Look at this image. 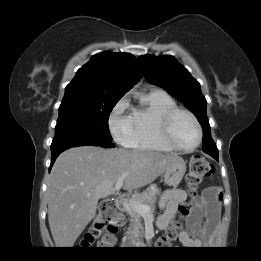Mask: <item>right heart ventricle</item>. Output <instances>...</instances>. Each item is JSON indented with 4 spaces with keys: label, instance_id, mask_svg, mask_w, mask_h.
Wrapping results in <instances>:
<instances>
[{
    "label": "right heart ventricle",
    "instance_id": "1",
    "mask_svg": "<svg viewBox=\"0 0 261 261\" xmlns=\"http://www.w3.org/2000/svg\"><path fill=\"white\" fill-rule=\"evenodd\" d=\"M175 107L176 102L165 91L152 89L145 92L139 105L131 109L133 133L128 146L146 151H173L161 136L159 121L165 112Z\"/></svg>",
    "mask_w": 261,
    "mask_h": 261
}]
</instances>
